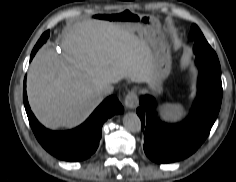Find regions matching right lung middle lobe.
Listing matches in <instances>:
<instances>
[{
	"label": "right lung middle lobe",
	"mask_w": 236,
	"mask_h": 182,
	"mask_svg": "<svg viewBox=\"0 0 236 182\" xmlns=\"http://www.w3.org/2000/svg\"><path fill=\"white\" fill-rule=\"evenodd\" d=\"M49 37V31L45 32L40 39L38 40L37 44L35 45V47H41L43 43L46 42L47 38Z\"/></svg>",
	"instance_id": "1"
}]
</instances>
